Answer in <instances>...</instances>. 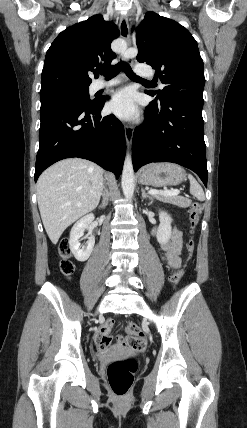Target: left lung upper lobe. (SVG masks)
<instances>
[{
    "instance_id": "5c2ea615",
    "label": "left lung upper lobe",
    "mask_w": 247,
    "mask_h": 428,
    "mask_svg": "<svg viewBox=\"0 0 247 428\" xmlns=\"http://www.w3.org/2000/svg\"><path fill=\"white\" fill-rule=\"evenodd\" d=\"M137 60L156 70L162 90L145 91L155 103L183 96L203 102V60L196 40L179 23L148 12L136 29Z\"/></svg>"
}]
</instances>
